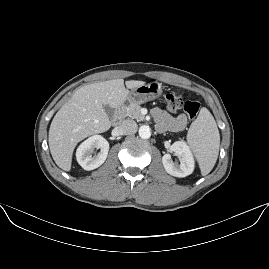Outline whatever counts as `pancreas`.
<instances>
[{
	"label": "pancreas",
	"mask_w": 269,
	"mask_h": 269,
	"mask_svg": "<svg viewBox=\"0 0 269 269\" xmlns=\"http://www.w3.org/2000/svg\"><path fill=\"white\" fill-rule=\"evenodd\" d=\"M123 117H130L142 121L145 116L141 113V107L138 104L131 103L127 109L122 111Z\"/></svg>",
	"instance_id": "cf45deb5"
}]
</instances>
